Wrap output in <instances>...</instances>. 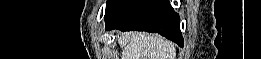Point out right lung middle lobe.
I'll return each mask as SVG.
<instances>
[{
	"mask_svg": "<svg viewBox=\"0 0 261 59\" xmlns=\"http://www.w3.org/2000/svg\"><path fill=\"white\" fill-rule=\"evenodd\" d=\"M122 2H123V0H108V1H107V5H106L105 15L109 14L110 12H112V11H113L115 8H117Z\"/></svg>",
	"mask_w": 261,
	"mask_h": 59,
	"instance_id": "right-lung-middle-lobe-1",
	"label": "right lung middle lobe"
}]
</instances>
